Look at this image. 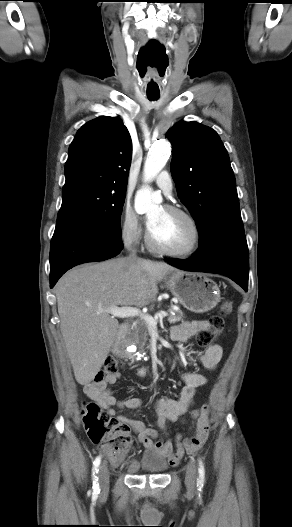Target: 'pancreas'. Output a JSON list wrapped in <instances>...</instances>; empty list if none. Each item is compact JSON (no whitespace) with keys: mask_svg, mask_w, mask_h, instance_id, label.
I'll return each mask as SVG.
<instances>
[{"mask_svg":"<svg viewBox=\"0 0 292 527\" xmlns=\"http://www.w3.org/2000/svg\"><path fill=\"white\" fill-rule=\"evenodd\" d=\"M169 323H176L183 321L184 314L181 310H175L173 308L168 309ZM149 331L148 326L143 320H139L135 323L133 329L128 333L127 341L131 344H136L143 347L148 339Z\"/></svg>","mask_w":292,"mask_h":527,"instance_id":"cf45deb5","label":"pancreas"}]
</instances>
